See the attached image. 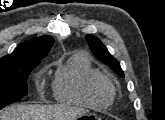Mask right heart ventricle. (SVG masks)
Here are the masks:
<instances>
[{
	"label": "right heart ventricle",
	"instance_id": "1",
	"mask_svg": "<svg viewBox=\"0 0 165 120\" xmlns=\"http://www.w3.org/2000/svg\"><path fill=\"white\" fill-rule=\"evenodd\" d=\"M53 91L61 102L92 108L107 107L114 99L112 83L82 53L73 54L58 65Z\"/></svg>",
	"mask_w": 165,
	"mask_h": 120
}]
</instances>
